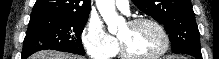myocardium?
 Wrapping results in <instances>:
<instances>
[{
	"label": "myocardium",
	"instance_id": "f54148a6",
	"mask_svg": "<svg viewBox=\"0 0 219 59\" xmlns=\"http://www.w3.org/2000/svg\"><path fill=\"white\" fill-rule=\"evenodd\" d=\"M140 24H150L159 32V34L162 37V42H163L162 47L157 52L149 56H138V55L132 54L127 49V47L124 45V43L118 38V45H119V49H120V53L122 57H124L125 59H158L164 56L169 50L170 38H169L167 31L163 27V25L157 20L153 18H148V17L135 18L128 22V25L130 26H137Z\"/></svg>",
	"mask_w": 219,
	"mask_h": 59
}]
</instances>
